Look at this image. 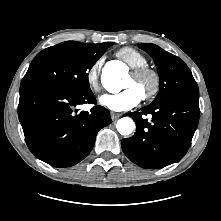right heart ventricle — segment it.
Returning a JSON list of instances; mask_svg holds the SVG:
<instances>
[{
  "instance_id": "e07e8e85",
  "label": "right heart ventricle",
  "mask_w": 221,
  "mask_h": 221,
  "mask_svg": "<svg viewBox=\"0 0 221 221\" xmlns=\"http://www.w3.org/2000/svg\"><path fill=\"white\" fill-rule=\"evenodd\" d=\"M116 56L122 59L131 68L142 67L148 63L146 55L133 47H122L118 49Z\"/></svg>"
}]
</instances>
